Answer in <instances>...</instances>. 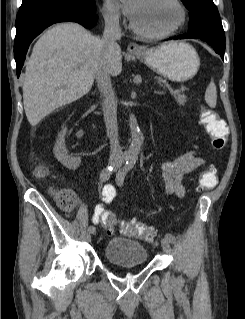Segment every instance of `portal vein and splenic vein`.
Returning a JSON list of instances; mask_svg holds the SVG:
<instances>
[{"label":"portal vein and splenic vein","mask_w":245,"mask_h":319,"mask_svg":"<svg viewBox=\"0 0 245 319\" xmlns=\"http://www.w3.org/2000/svg\"><path fill=\"white\" fill-rule=\"evenodd\" d=\"M183 90H185V87H182V88H180V89H175L174 91H175V92H179V91H183Z\"/></svg>","instance_id":"18ae733b"}]
</instances>
